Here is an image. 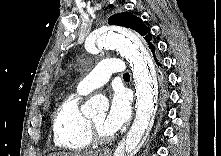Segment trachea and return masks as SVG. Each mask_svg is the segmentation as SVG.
Instances as JSON below:
<instances>
[{
	"instance_id": "1",
	"label": "trachea",
	"mask_w": 221,
	"mask_h": 156,
	"mask_svg": "<svg viewBox=\"0 0 221 156\" xmlns=\"http://www.w3.org/2000/svg\"><path fill=\"white\" fill-rule=\"evenodd\" d=\"M123 78H130L129 73H125V74L123 75Z\"/></svg>"
}]
</instances>
